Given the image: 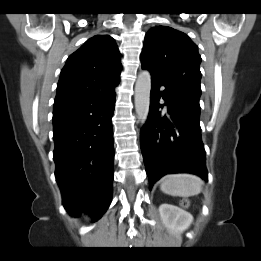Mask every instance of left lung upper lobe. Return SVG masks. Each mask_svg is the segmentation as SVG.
<instances>
[{"label": "left lung upper lobe", "mask_w": 261, "mask_h": 261, "mask_svg": "<svg viewBox=\"0 0 261 261\" xmlns=\"http://www.w3.org/2000/svg\"><path fill=\"white\" fill-rule=\"evenodd\" d=\"M141 62L152 77L201 95V56L185 33L167 26L151 28L145 35Z\"/></svg>", "instance_id": "obj_1"}]
</instances>
